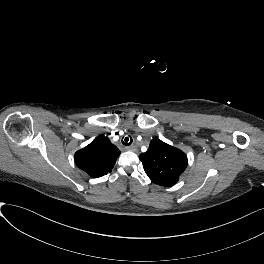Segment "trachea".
I'll use <instances>...</instances> for the list:
<instances>
[{
	"label": "trachea",
	"instance_id": "trachea-1",
	"mask_svg": "<svg viewBox=\"0 0 264 264\" xmlns=\"http://www.w3.org/2000/svg\"><path fill=\"white\" fill-rule=\"evenodd\" d=\"M133 142V139L131 136L125 137L124 140L122 139L123 145L129 146Z\"/></svg>",
	"mask_w": 264,
	"mask_h": 264
}]
</instances>
